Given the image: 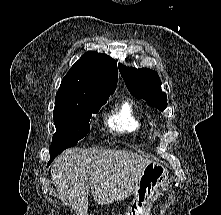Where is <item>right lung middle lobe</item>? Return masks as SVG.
Instances as JSON below:
<instances>
[{
  "label": "right lung middle lobe",
  "instance_id": "dd1d6c3e",
  "mask_svg": "<svg viewBox=\"0 0 221 215\" xmlns=\"http://www.w3.org/2000/svg\"><path fill=\"white\" fill-rule=\"evenodd\" d=\"M107 99L83 104L58 105L53 111L56 133L50 146V161L66 148L72 147L90 130V118Z\"/></svg>",
  "mask_w": 221,
  "mask_h": 215
}]
</instances>
